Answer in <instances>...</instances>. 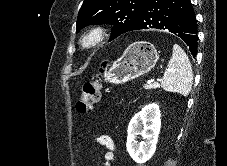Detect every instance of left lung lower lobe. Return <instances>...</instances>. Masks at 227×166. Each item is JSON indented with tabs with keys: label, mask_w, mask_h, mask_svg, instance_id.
I'll return each instance as SVG.
<instances>
[{
	"label": "left lung lower lobe",
	"mask_w": 227,
	"mask_h": 166,
	"mask_svg": "<svg viewBox=\"0 0 227 166\" xmlns=\"http://www.w3.org/2000/svg\"><path fill=\"white\" fill-rule=\"evenodd\" d=\"M151 28L174 33L196 56L197 25L190 0H147L134 30Z\"/></svg>",
	"instance_id": "0a47b994"
}]
</instances>
